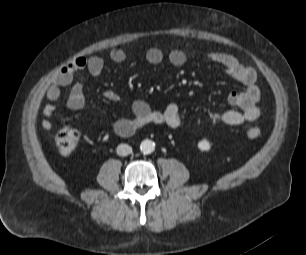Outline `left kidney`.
Here are the masks:
<instances>
[{"label":"left kidney","mask_w":306,"mask_h":255,"mask_svg":"<svg viewBox=\"0 0 306 255\" xmlns=\"http://www.w3.org/2000/svg\"><path fill=\"white\" fill-rule=\"evenodd\" d=\"M198 148L201 150V151H209L210 148H211V145L209 143L208 140L206 139H203L201 141L198 142Z\"/></svg>","instance_id":"left-kidney-1"}]
</instances>
